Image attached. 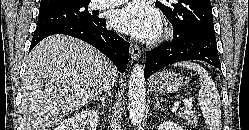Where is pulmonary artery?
<instances>
[{"mask_svg": "<svg viewBox=\"0 0 249 130\" xmlns=\"http://www.w3.org/2000/svg\"><path fill=\"white\" fill-rule=\"evenodd\" d=\"M127 0H94V7L96 8H107L119 5L126 2Z\"/></svg>", "mask_w": 249, "mask_h": 130, "instance_id": "obj_1", "label": "pulmonary artery"}]
</instances>
